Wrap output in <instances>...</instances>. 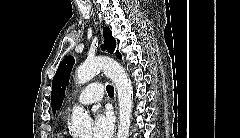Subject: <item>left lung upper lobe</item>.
Here are the masks:
<instances>
[{
	"label": "left lung upper lobe",
	"mask_w": 240,
	"mask_h": 138,
	"mask_svg": "<svg viewBox=\"0 0 240 138\" xmlns=\"http://www.w3.org/2000/svg\"><path fill=\"white\" fill-rule=\"evenodd\" d=\"M104 45H102L103 50H107L109 53L115 52L116 42L112 36L111 30L109 28H103ZM116 57L121 58L119 51H116ZM74 64V58L68 56L63 59L57 69V72L52 81V93H51V103L52 110L59 109L62 106L64 99L66 85L70 78V72Z\"/></svg>",
	"instance_id": "1"
}]
</instances>
